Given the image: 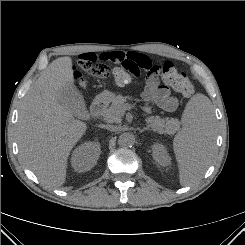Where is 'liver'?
<instances>
[{"label":"liver","mask_w":245,"mask_h":245,"mask_svg":"<svg viewBox=\"0 0 245 245\" xmlns=\"http://www.w3.org/2000/svg\"><path fill=\"white\" fill-rule=\"evenodd\" d=\"M74 86L71 57L54 60L24 97L17 123V142L22 163L40 183L57 188L66 180L70 151L87 125L63 105L59 93Z\"/></svg>","instance_id":"6515ba94"}]
</instances>
